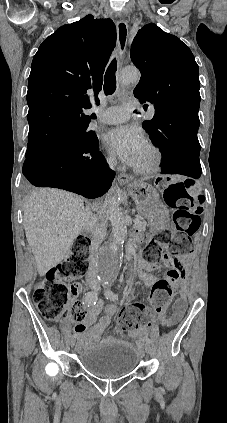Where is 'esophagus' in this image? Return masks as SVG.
Instances as JSON below:
<instances>
[{"label": "esophagus", "mask_w": 227, "mask_h": 423, "mask_svg": "<svg viewBox=\"0 0 227 423\" xmlns=\"http://www.w3.org/2000/svg\"><path fill=\"white\" fill-rule=\"evenodd\" d=\"M117 28V51L119 57H123L126 51V45L128 41V25L125 20H118L116 23ZM133 180V177L127 175L126 173H119L118 181L119 183H129Z\"/></svg>", "instance_id": "1"}]
</instances>
